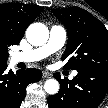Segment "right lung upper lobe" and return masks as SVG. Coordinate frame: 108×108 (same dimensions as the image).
I'll list each match as a JSON object with an SVG mask.
<instances>
[{"instance_id":"right-lung-upper-lobe-1","label":"right lung upper lobe","mask_w":108,"mask_h":108,"mask_svg":"<svg viewBox=\"0 0 108 108\" xmlns=\"http://www.w3.org/2000/svg\"><path fill=\"white\" fill-rule=\"evenodd\" d=\"M42 7L4 3L0 5V50L19 44L26 28L41 13Z\"/></svg>"}]
</instances>
